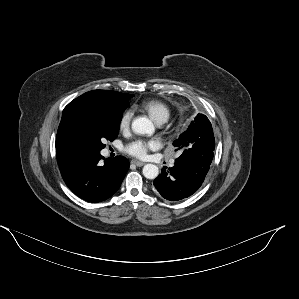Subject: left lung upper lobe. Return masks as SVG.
Segmentation results:
<instances>
[{
    "label": "left lung upper lobe",
    "mask_w": 299,
    "mask_h": 299,
    "mask_svg": "<svg viewBox=\"0 0 299 299\" xmlns=\"http://www.w3.org/2000/svg\"><path fill=\"white\" fill-rule=\"evenodd\" d=\"M173 145L176 147L175 151H179V157L210 167L215 139L209 119L205 115H197Z\"/></svg>",
    "instance_id": "5c2ea615"
}]
</instances>
